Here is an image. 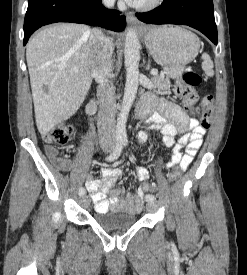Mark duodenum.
Masks as SVG:
<instances>
[{
  "label": "duodenum",
  "instance_id": "obj_1",
  "mask_svg": "<svg viewBox=\"0 0 247 275\" xmlns=\"http://www.w3.org/2000/svg\"><path fill=\"white\" fill-rule=\"evenodd\" d=\"M97 105L94 100H90L87 104V111L89 113H94L96 111ZM148 109L147 107L141 103L137 106V115L138 117H143L147 113Z\"/></svg>",
  "mask_w": 247,
  "mask_h": 275
}]
</instances>
